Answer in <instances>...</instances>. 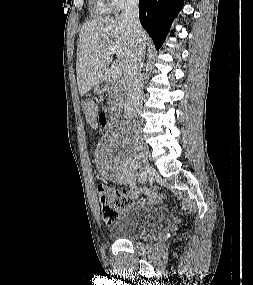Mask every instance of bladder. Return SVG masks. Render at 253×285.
Returning <instances> with one entry per match:
<instances>
[{
    "label": "bladder",
    "instance_id": "31cf9c89",
    "mask_svg": "<svg viewBox=\"0 0 253 285\" xmlns=\"http://www.w3.org/2000/svg\"><path fill=\"white\" fill-rule=\"evenodd\" d=\"M162 221L163 214L157 208L134 205L121 211L109 231L116 239L131 240L153 230Z\"/></svg>",
    "mask_w": 253,
    "mask_h": 285
}]
</instances>
